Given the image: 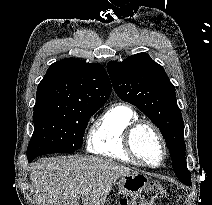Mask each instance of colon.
Here are the masks:
<instances>
[{
	"label": "colon",
	"mask_w": 212,
	"mask_h": 205,
	"mask_svg": "<svg viewBox=\"0 0 212 205\" xmlns=\"http://www.w3.org/2000/svg\"><path fill=\"white\" fill-rule=\"evenodd\" d=\"M170 191L158 182H152L144 187L131 199H122L116 205H152L156 200L169 198Z\"/></svg>",
	"instance_id": "1"
}]
</instances>
